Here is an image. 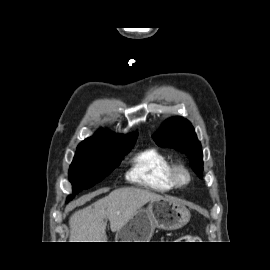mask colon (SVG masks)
I'll list each match as a JSON object with an SVG mask.
<instances>
[{
	"label": "colon",
	"instance_id": "5ec220e1",
	"mask_svg": "<svg viewBox=\"0 0 270 270\" xmlns=\"http://www.w3.org/2000/svg\"><path fill=\"white\" fill-rule=\"evenodd\" d=\"M183 238H189L188 236H185V237H183Z\"/></svg>",
	"mask_w": 270,
	"mask_h": 270
}]
</instances>
